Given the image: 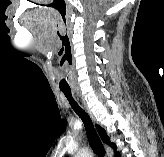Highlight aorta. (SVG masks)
I'll list each match as a JSON object with an SVG mask.
<instances>
[{"label": "aorta", "mask_w": 164, "mask_h": 157, "mask_svg": "<svg viewBox=\"0 0 164 157\" xmlns=\"http://www.w3.org/2000/svg\"><path fill=\"white\" fill-rule=\"evenodd\" d=\"M75 157H91V152L87 148H84Z\"/></svg>", "instance_id": "1"}]
</instances>
